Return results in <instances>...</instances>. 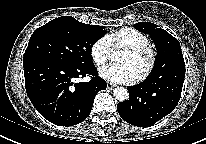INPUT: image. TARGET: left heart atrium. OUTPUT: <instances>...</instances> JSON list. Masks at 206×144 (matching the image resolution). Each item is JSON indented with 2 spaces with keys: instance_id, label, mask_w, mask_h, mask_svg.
Listing matches in <instances>:
<instances>
[{
  "instance_id": "1",
  "label": "left heart atrium",
  "mask_w": 206,
  "mask_h": 144,
  "mask_svg": "<svg viewBox=\"0 0 206 144\" xmlns=\"http://www.w3.org/2000/svg\"><path fill=\"white\" fill-rule=\"evenodd\" d=\"M102 78L113 83L134 82L137 75L134 69L127 63L110 64L99 70Z\"/></svg>"
}]
</instances>
